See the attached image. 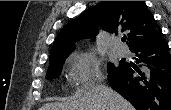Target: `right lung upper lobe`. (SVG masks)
<instances>
[{
    "instance_id": "obj_1",
    "label": "right lung upper lobe",
    "mask_w": 171,
    "mask_h": 110,
    "mask_svg": "<svg viewBox=\"0 0 171 110\" xmlns=\"http://www.w3.org/2000/svg\"><path fill=\"white\" fill-rule=\"evenodd\" d=\"M96 24L116 34L117 30L127 31L130 49L162 34L144 1H103L62 28L51 48L50 60L69 55L76 41L95 36L98 33Z\"/></svg>"
}]
</instances>
